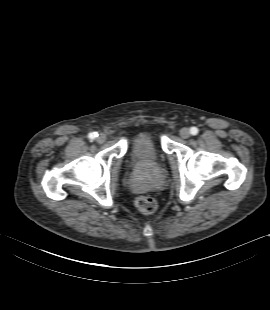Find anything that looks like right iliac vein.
<instances>
[{"label": "right iliac vein", "instance_id": "63e3f726", "mask_svg": "<svg viewBox=\"0 0 270 310\" xmlns=\"http://www.w3.org/2000/svg\"><path fill=\"white\" fill-rule=\"evenodd\" d=\"M106 140V136L104 135V134H99L98 136H97V138H96V141L98 142V143H103L104 141Z\"/></svg>", "mask_w": 270, "mask_h": 310}]
</instances>
